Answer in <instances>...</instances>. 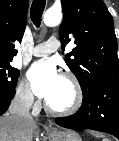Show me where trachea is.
<instances>
[{
  "mask_svg": "<svg viewBox=\"0 0 119 141\" xmlns=\"http://www.w3.org/2000/svg\"><path fill=\"white\" fill-rule=\"evenodd\" d=\"M46 0H33L30 18L35 26L39 27L41 24L42 14L45 8Z\"/></svg>",
  "mask_w": 119,
  "mask_h": 141,
  "instance_id": "3493384b",
  "label": "trachea"
}]
</instances>
